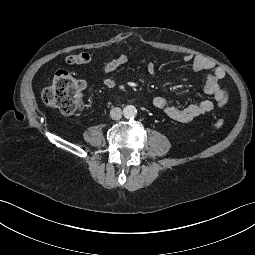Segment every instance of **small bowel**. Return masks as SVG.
<instances>
[{
    "mask_svg": "<svg viewBox=\"0 0 255 255\" xmlns=\"http://www.w3.org/2000/svg\"><path fill=\"white\" fill-rule=\"evenodd\" d=\"M90 61L91 56L87 52L69 55L65 58V62L68 65L87 64ZM128 61L129 55L127 53H122L104 64L102 69L103 73L107 75L125 65ZM183 61L188 63L194 70L207 72L204 91L206 94L212 96L214 102L209 99H202L186 107L180 108L170 105L165 97L156 96L153 99V105L155 108L161 110L170 120L189 122L214 110L216 106L223 107L227 102L228 92L219 84V81L226 75V72L222 67L216 66L213 62L202 56L193 54L184 55ZM146 70L150 75H156L158 72L157 66L153 61L147 63ZM101 82L105 87L110 89L115 88L118 84L116 78L109 76L102 77Z\"/></svg>",
    "mask_w": 255,
    "mask_h": 255,
    "instance_id": "small-bowel-1",
    "label": "small bowel"
}]
</instances>
